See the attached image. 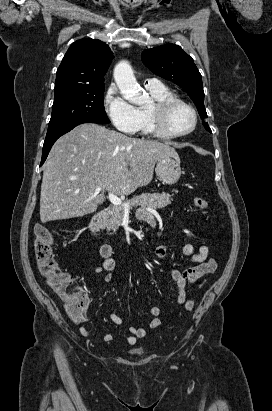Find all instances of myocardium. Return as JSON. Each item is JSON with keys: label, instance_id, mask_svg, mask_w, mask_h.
<instances>
[{"label": "myocardium", "instance_id": "obj_1", "mask_svg": "<svg viewBox=\"0 0 272 411\" xmlns=\"http://www.w3.org/2000/svg\"><path fill=\"white\" fill-rule=\"evenodd\" d=\"M177 106H183L188 109L193 117L191 127L183 132L171 131L168 127V118L172 109ZM148 115L155 135L163 139L182 138L192 133L198 124V114L195 108L187 101L171 97L160 101H155L148 109Z\"/></svg>", "mask_w": 272, "mask_h": 411}]
</instances>
